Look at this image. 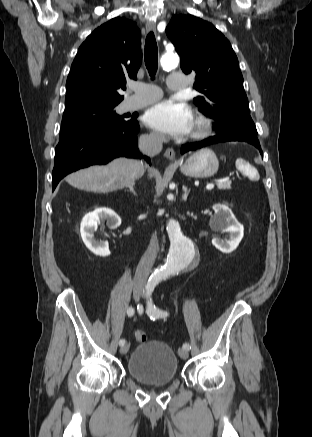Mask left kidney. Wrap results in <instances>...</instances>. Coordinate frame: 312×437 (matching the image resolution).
Masks as SVG:
<instances>
[{
	"mask_svg": "<svg viewBox=\"0 0 312 437\" xmlns=\"http://www.w3.org/2000/svg\"><path fill=\"white\" fill-rule=\"evenodd\" d=\"M214 216L210 219L209 225L212 230L229 233L228 239L214 237L212 244L223 253H231L239 245L244 235L243 225L236 219L232 211L223 204H215Z\"/></svg>",
	"mask_w": 312,
	"mask_h": 437,
	"instance_id": "left-kidney-1",
	"label": "left kidney"
}]
</instances>
